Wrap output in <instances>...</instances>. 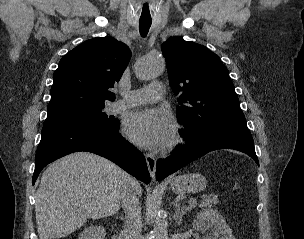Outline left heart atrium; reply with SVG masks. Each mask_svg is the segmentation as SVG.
Returning a JSON list of instances; mask_svg holds the SVG:
<instances>
[{"label":"left heart atrium","instance_id":"left-heart-atrium-1","mask_svg":"<svg viewBox=\"0 0 304 239\" xmlns=\"http://www.w3.org/2000/svg\"><path fill=\"white\" fill-rule=\"evenodd\" d=\"M174 133L171 117L153 109H143L132 113L125 123V134L134 143L157 149L164 146Z\"/></svg>","mask_w":304,"mask_h":239}]
</instances>
